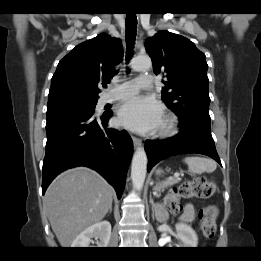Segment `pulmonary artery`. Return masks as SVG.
I'll return each mask as SVG.
<instances>
[{
    "label": "pulmonary artery",
    "mask_w": 261,
    "mask_h": 261,
    "mask_svg": "<svg viewBox=\"0 0 261 261\" xmlns=\"http://www.w3.org/2000/svg\"><path fill=\"white\" fill-rule=\"evenodd\" d=\"M153 86V77L148 74H141L136 78L115 86L102 96L103 103L129 98L137 93L139 88L150 89Z\"/></svg>",
    "instance_id": "pulmonary-artery-1"
}]
</instances>
